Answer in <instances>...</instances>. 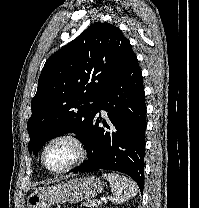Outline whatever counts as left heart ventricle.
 <instances>
[{
    "mask_svg": "<svg viewBox=\"0 0 199 208\" xmlns=\"http://www.w3.org/2000/svg\"><path fill=\"white\" fill-rule=\"evenodd\" d=\"M76 147L69 141L61 140L52 143L46 150L45 159L50 168L58 169L73 161Z\"/></svg>",
    "mask_w": 199,
    "mask_h": 208,
    "instance_id": "obj_1",
    "label": "left heart ventricle"
}]
</instances>
